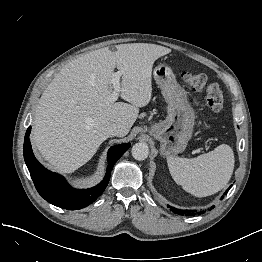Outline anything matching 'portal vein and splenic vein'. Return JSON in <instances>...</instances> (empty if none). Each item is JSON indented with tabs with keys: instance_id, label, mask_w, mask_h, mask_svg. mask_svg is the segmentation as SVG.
<instances>
[{
	"instance_id": "1",
	"label": "portal vein and splenic vein",
	"mask_w": 262,
	"mask_h": 262,
	"mask_svg": "<svg viewBox=\"0 0 262 262\" xmlns=\"http://www.w3.org/2000/svg\"><path fill=\"white\" fill-rule=\"evenodd\" d=\"M123 71H118L113 73L111 83L113 85V92L107 97V101L109 103H114L117 101L120 95V77L122 76Z\"/></svg>"
}]
</instances>
